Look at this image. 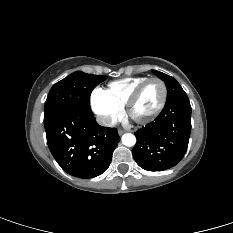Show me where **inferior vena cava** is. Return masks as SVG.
I'll use <instances>...</instances> for the list:
<instances>
[{
	"instance_id": "1",
	"label": "inferior vena cava",
	"mask_w": 233,
	"mask_h": 233,
	"mask_svg": "<svg viewBox=\"0 0 233 233\" xmlns=\"http://www.w3.org/2000/svg\"><path fill=\"white\" fill-rule=\"evenodd\" d=\"M97 122L106 127H112L115 125V121L108 116H97Z\"/></svg>"
}]
</instances>
